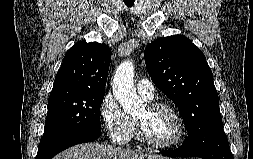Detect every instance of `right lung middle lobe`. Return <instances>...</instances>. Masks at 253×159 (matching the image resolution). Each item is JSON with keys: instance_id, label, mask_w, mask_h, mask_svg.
I'll return each mask as SVG.
<instances>
[{"instance_id": "right-lung-middle-lobe-1", "label": "right lung middle lobe", "mask_w": 253, "mask_h": 159, "mask_svg": "<svg viewBox=\"0 0 253 159\" xmlns=\"http://www.w3.org/2000/svg\"><path fill=\"white\" fill-rule=\"evenodd\" d=\"M105 92H81L49 98L46 128L38 153L60 139L83 131H101L100 107Z\"/></svg>"}]
</instances>
